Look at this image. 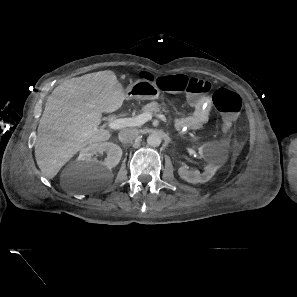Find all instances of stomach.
<instances>
[{"mask_svg": "<svg viewBox=\"0 0 297 297\" xmlns=\"http://www.w3.org/2000/svg\"><path fill=\"white\" fill-rule=\"evenodd\" d=\"M160 95V90L153 81L139 79L131 83L125 90V97L129 99L154 100Z\"/></svg>", "mask_w": 297, "mask_h": 297, "instance_id": "0dacf381", "label": "stomach"}]
</instances>
